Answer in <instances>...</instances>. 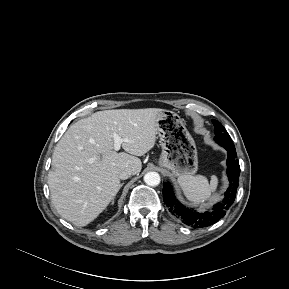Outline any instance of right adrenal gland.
I'll list each match as a JSON object with an SVG mask.
<instances>
[{"instance_id": "1", "label": "right adrenal gland", "mask_w": 289, "mask_h": 289, "mask_svg": "<svg viewBox=\"0 0 289 289\" xmlns=\"http://www.w3.org/2000/svg\"><path fill=\"white\" fill-rule=\"evenodd\" d=\"M122 186H123V183H121V184L118 186V189H117V191H116V194H115V196H114V198H113V200H112V202H111V205L114 204V199H115L117 193L119 192V190H120V188H121Z\"/></svg>"}]
</instances>
